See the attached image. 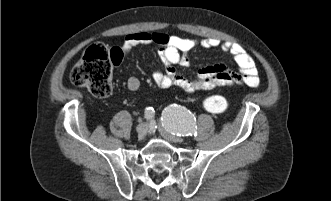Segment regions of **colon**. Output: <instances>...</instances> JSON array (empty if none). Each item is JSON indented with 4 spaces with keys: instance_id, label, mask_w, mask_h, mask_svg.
I'll return each mask as SVG.
<instances>
[{
    "instance_id": "colon-1",
    "label": "colon",
    "mask_w": 331,
    "mask_h": 201,
    "mask_svg": "<svg viewBox=\"0 0 331 201\" xmlns=\"http://www.w3.org/2000/svg\"><path fill=\"white\" fill-rule=\"evenodd\" d=\"M121 57L122 52L119 49H107L101 44H93L73 67L71 82L86 88L96 97H107L112 91L113 64ZM203 107L210 113L220 114L229 109L230 102L224 96L214 95L203 100Z\"/></svg>"
}]
</instances>
